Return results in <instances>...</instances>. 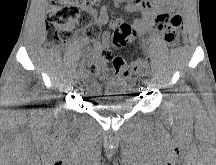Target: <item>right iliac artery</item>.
<instances>
[{"label":"right iliac artery","mask_w":216,"mask_h":165,"mask_svg":"<svg viewBox=\"0 0 216 165\" xmlns=\"http://www.w3.org/2000/svg\"><path fill=\"white\" fill-rule=\"evenodd\" d=\"M82 68H83V65H82V64H79V65H78V68H77V71H78V72H81V71H82Z\"/></svg>","instance_id":"1"}]
</instances>
